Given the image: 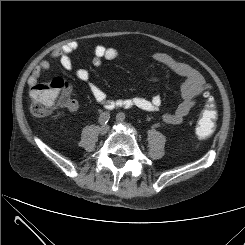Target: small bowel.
<instances>
[{
	"mask_svg": "<svg viewBox=\"0 0 245 245\" xmlns=\"http://www.w3.org/2000/svg\"><path fill=\"white\" fill-rule=\"evenodd\" d=\"M78 48L77 43L69 42L62 47L55 49L51 53L53 59L59 60L62 68L66 71H74L76 77L87 83L89 91L96 102L102 104L106 109L115 108H138L143 111L158 113L162 108V100L159 96L153 95L150 97L134 96L131 98L111 100L107 97L106 93L97 84L91 81L90 73L87 69L79 68L74 69V64L71 59V54ZM120 56V52L113 47H107L104 45H96L94 48V56L92 58V64L94 66L101 65L102 61L115 60ZM153 59L167 67L173 73L184 78V82L181 86L182 101L178 105L175 111L165 112L163 114V120L168 124H179L190 113L196 104V100L205 91L208 90L202 75L192 68L191 66L182 63L166 53H155ZM50 68V62L47 60L42 61L33 71L29 78L30 84H35L37 80L45 74ZM153 81H158V77L152 76ZM78 108L75 102L69 107L70 110L76 111Z\"/></svg>",
	"mask_w": 245,
	"mask_h": 245,
	"instance_id": "small-bowel-1",
	"label": "small bowel"
}]
</instances>
